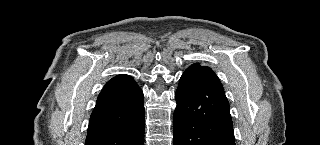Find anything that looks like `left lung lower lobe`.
<instances>
[{
	"label": "left lung lower lobe",
	"instance_id": "left-lung-lower-lobe-1",
	"mask_svg": "<svg viewBox=\"0 0 320 145\" xmlns=\"http://www.w3.org/2000/svg\"><path fill=\"white\" fill-rule=\"evenodd\" d=\"M174 145H235L229 102L211 68L192 64L175 94Z\"/></svg>",
	"mask_w": 320,
	"mask_h": 145
}]
</instances>
